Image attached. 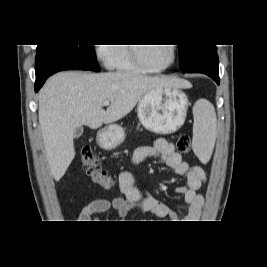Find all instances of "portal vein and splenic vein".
Returning a JSON list of instances; mask_svg holds the SVG:
<instances>
[{"label": "portal vein and splenic vein", "mask_w": 267, "mask_h": 267, "mask_svg": "<svg viewBox=\"0 0 267 267\" xmlns=\"http://www.w3.org/2000/svg\"><path fill=\"white\" fill-rule=\"evenodd\" d=\"M109 104H110L109 101H105V102L103 103V106H108Z\"/></svg>", "instance_id": "portal-vein-and-splenic-vein-1"}]
</instances>
